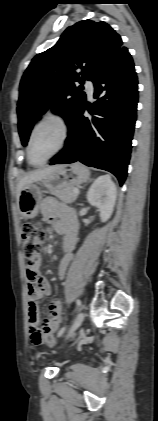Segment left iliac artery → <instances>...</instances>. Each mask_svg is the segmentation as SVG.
Listing matches in <instances>:
<instances>
[{
    "instance_id": "left-iliac-artery-1",
    "label": "left iliac artery",
    "mask_w": 158,
    "mask_h": 421,
    "mask_svg": "<svg viewBox=\"0 0 158 421\" xmlns=\"http://www.w3.org/2000/svg\"><path fill=\"white\" fill-rule=\"evenodd\" d=\"M76 304H77V306H78V307H80V306H81V300H79V299H78V300L76 301ZM65 328H66V327H63V328L59 331V333H58V336H59V337H60V336L64 333Z\"/></svg>"
}]
</instances>
